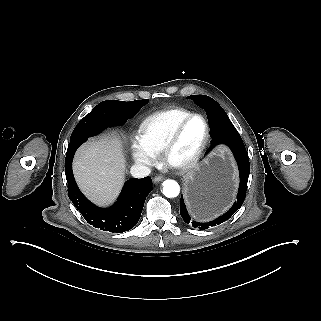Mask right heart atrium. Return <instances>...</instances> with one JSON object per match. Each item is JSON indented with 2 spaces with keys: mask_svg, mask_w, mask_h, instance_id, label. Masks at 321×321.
<instances>
[{
  "mask_svg": "<svg viewBox=\"0 0 321 321\" xmlns=\"http://www.w3.org/2000/svg\"><path fill=\"white\" fill-rule=\"evenodd\" d=\"M131 152L133 160L143 170H149L158 159L157 154L144 142L140 134L133 135Z\"/></svg>",
  "mask_w": 321,
  "mask_h": 321,
  "instance_id": "d8ad5b80",
  "label": "right heart atrium"
}]
</instances>
